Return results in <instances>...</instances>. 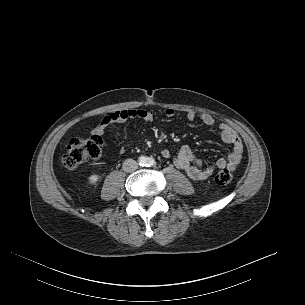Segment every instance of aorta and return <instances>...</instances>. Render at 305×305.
Instances as JSON below:
<instances>
[{
	"label": "aorta",
	"instance_id": "obj_1",
	"mask_svg": "<svg viewBox=\"0 0 305 305\" xmlns=\"http://www.w3.org/2000/svg\"><path fill=\"white\" fill-rule=\"evenodd\" d=\"M139 161H140L141 164H146V163H148V158L147 157H140Z\"/></svg>",
	"mask_w": 305,
	"mask_h": 305
}]
</instances>
